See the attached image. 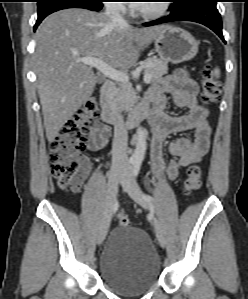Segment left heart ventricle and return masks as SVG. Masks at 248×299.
<instances>
[{"label": "left heart ventricle", "mask_w": 248, "mask_h": 299, "mask_svg": "<svg viewBox=\"0 0 248 299\" xmlns=\"http://www.w3.org/2000/svg\"><path fill=\"white\" fill-rule=\"evenodd\" d=\"M158 4V1L148 2L142 5L141 9H150Z\"/></svg>", "instance_id": "left-heart-ventricle-1"}]
</instances>
